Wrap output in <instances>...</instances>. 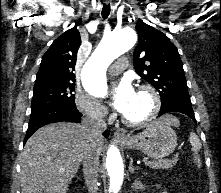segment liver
<instances>
[{"instance_id": "obj_1", "label": "liver", "mask_w": 221, "mask_h": 193, "mask_svg": "<svg viewBox=\"0 0 221 193\" xmlns=\"http://www.w3.org/2000/svg\"><path fill=\"white\" fill-rule=\"evenodd\" d=\"M161 121L180 125L172 116H164ZM86 141V132L79 124L61 122L37 130L21 154L22 193H66L82 162ZM97 149L99 154L103 151V138Z\"/></svg>"}]
</instances>
